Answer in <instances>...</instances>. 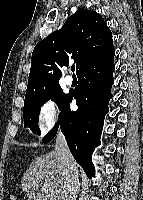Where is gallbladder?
I'll return each instance as SVG.
<instances>
[{"mask_svg":"<svg viewBox=\"0 0 143 200\" xmlns=\"http://www.w3.org/2000/svg\"><path fill=\"white\" fill-rule=\"evenodd\" d=\"M32 200H37V197L32 196Z\"/></svg>","mask_w":143,"mask_h":200,"instance_id":"1","label":"gallbladder"}]
</instances>
